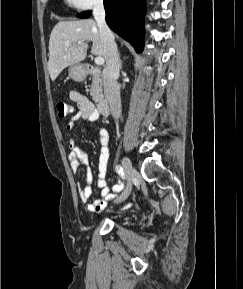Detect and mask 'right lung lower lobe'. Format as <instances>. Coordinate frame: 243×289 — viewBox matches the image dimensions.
I'll use <instances>...</instances> for the list:
<instances>
[{
    "mask_svg": "<svg viewBox=\"0 0 243 289\" xmlns=\"http://www.w3.org/2000/svg\"><path fill=\"white\" fill-rule=\"evenodd\" d=\"M106 22L109 27L130 42L137 52L144 46L145 0H104ZM91 12H82L79 18H88Z\"/></svg>",
    "mask_w": 243,
    "mask_h": 289,
    "instance_id": "right-lung-lower-lobe-1",
    "label": "right lung lower lobe"
}]
</instances>
